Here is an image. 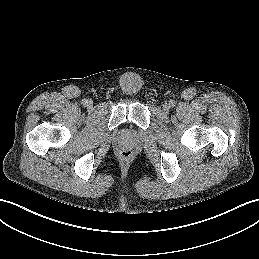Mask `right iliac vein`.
Returning a JSON list of instances; mask_svg holds the SVG:
<instances>
[{"mask_svg": "<svg viewBox=\"0 0 259 259\" xmlns=\"http://www.w3.org/2000/svg\"><path fill=\"white\" fill-rule=\"evenodd\" d=\"M93 105L92 101H88L87 106L91 107Z\"/></svg>", "mask_w": 259, "mask_h": 259, "instance_id": "obj_1", "label": "right iliac vein"}]
</instances>
